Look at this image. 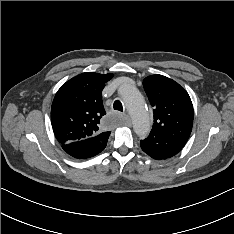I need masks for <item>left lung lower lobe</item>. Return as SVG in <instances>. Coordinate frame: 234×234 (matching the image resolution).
I'll list each match as a JSON object with an SVG mask.
<instances>
[{
	"instance_id": "left-lung-lower-lobe-1",
	"label": "left lung lower lobe",
	"mask_w": 234,
	"mask_h": 234,
	"mask_svg": "<svg viewBox=\"0 0 234 234\" xmlns=\"http://www.w3.org/2000/svg\"><path fill=\"white\" fill-rule=\"evenodd\" d=\"M142 150L154 159H167L176 155L183 146L171 140L148 136L140 141Z\"/></svg>"
}]
</instances>
